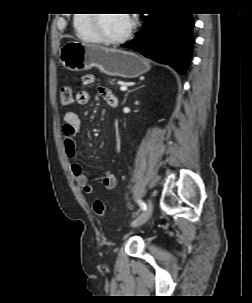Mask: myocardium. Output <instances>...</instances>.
I'll return each instance as SVG.
<instances>
[{"label":"myocardium","instance_id":"f54148a6","mask_svg":"<svg viewBox=\"0 0 252 303\" xmlns=\"http://www.w3.org/2000/svg\"><path fill=\"white\" fill-rule=\"evenodd\" d=\"M101 15L102 14H92L93 25H94V28L97 32L99 39L105 43L118 44V43H122V42L126 41L131 36L132 32L134 31V29L137 25L136 16L132 13H128V16L130 17V24H129L128 28L126 29V31L120 36L110 37V36H107L101 29Z\"/></svg>","mask_w":252,"mask_h":303}]
</instances>
